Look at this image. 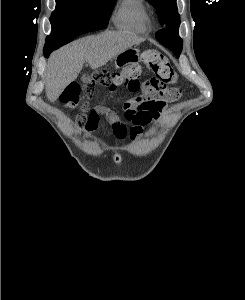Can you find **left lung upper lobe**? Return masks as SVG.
Masks as SVG:
<instances>
[{"label":"left lung upper lobe","instance_id":"1","mask_svg":"<svg viewBox=\"0 0 245 300\" xmlns=\"http://www.w3.org/2000/svg\"><path fill=\"white\" fill-rule=\"evenodd\" d=\"M148 1L157 10V15L161 23L166 26L156 33V39L179 57L182 51L183 41L178 33L180 16L178 14L176 0Z\"/></svg>","mask_w":245,"mask_h":300}]
</instances>
